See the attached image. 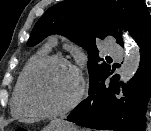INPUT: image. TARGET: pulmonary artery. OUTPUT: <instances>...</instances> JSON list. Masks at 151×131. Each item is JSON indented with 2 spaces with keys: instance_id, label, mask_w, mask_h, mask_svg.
Segmentation results:
<instances>
[{
  "instance_id": "e3ab8cb5",
  "label": "pulmonary artery",
  "mask_w": 151,
  "mask_h": 131,
  "mask_svg": "<svg viewBox=\"0 0 151 131\" xmlns=\"http://www.w3.org/2000/svg\"><path fill=\"white\" fill-rule=\"evenodd\" d=\"M55 42V39L53 38L51 40V43H54ZM105 46L108 50V52L116 57H121L122 56V49L121 47H119L115 42L114 40L112 39H107L105 41Z\"/></svg>"
}]
</instances>
